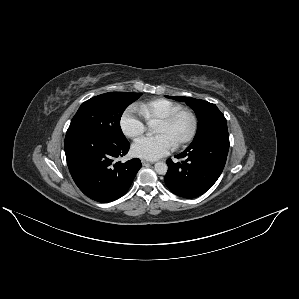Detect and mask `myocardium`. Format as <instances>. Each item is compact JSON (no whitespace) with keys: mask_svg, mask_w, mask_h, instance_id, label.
Listing matches in <instances>:
<instances>
[{"mask_svg":"<svg viewBox=\"0 0 299 299\" xmlns=\"http://www.w3.org/2000/svg\"><path fill=\"white\" fill-rule=\"evenodd\" d=\"M182 114H188L191 117L192 120V127L189 132V134L179 143L175 145L176 148H181L187 144H189L193 138L196 135L197 129H198V118L197 115L192 111L191 109L188 108H181L167 117L161 119L158 124H163V125H171L173 124Z\"/></svg>","mask_w":299,"mask_h":299,"instance_id":"obj_1","label":"myocardium"}]
</instances>
